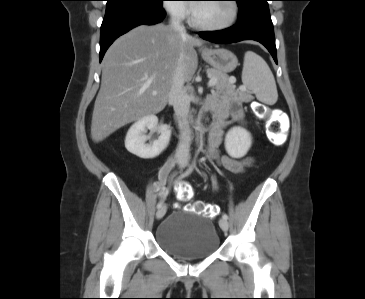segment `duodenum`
Here are the masks:
<instances>
[{"label": "duodenum", "mask_w": 365, "mask_h": 299, "mask_svg": "<svg viewBox=\"0 0 365 299\" xmlns=\"http://www.w3.org/2000/svg\"><path fill=\"white\" fill-rule=\"evenodd\" d=\"M213 124V115L210 111H203L198 120V128L204 131L209 130Z\"/></svg>", "instance_id": "410a0bca"}]
</instances>
